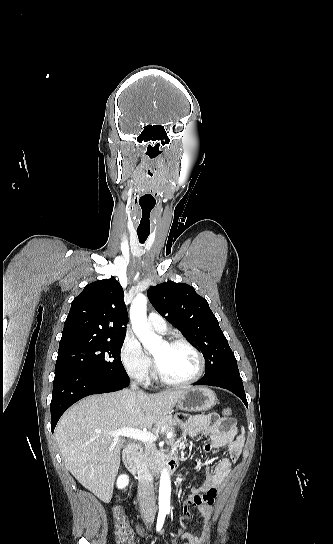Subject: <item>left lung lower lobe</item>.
<instances>
[{
    "label": "left lung lower lobe",
    "mask_w": 333,
    "mask_h": 544,
    "mask_svg": "<svg viewBox=\"0 0 333 544\" xmlns=\"http://www.w3.org/2000/svg\"><path fill=\"white\" fill-rule=\"evenodd\" d=\"M194 385H210L227 389L237 395L244 402L245 406L248 407L243 383L237 372L226 371L216 373L209 377H203L194 383Z\"/></svg>",
    "instance_id": "obj_1"
}]
</instances>
